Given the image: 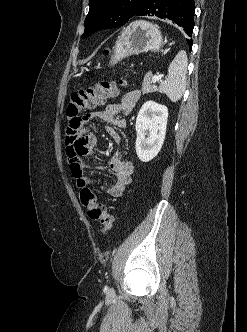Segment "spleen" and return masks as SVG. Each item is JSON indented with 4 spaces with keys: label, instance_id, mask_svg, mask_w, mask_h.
I'll use <instances>...</instances> for the list:
<instances>
[{
    "label": "spleen",
    "instance_id": "3e777b00",
    "mask_svg": "<svg viewBox=\"0 0 247 332\" xmlns=\"http://www.w3.org/2000/svg\"><path fill=\"white\" fill-rule=\"evenodd\" d=\"M187 65V54L181 50L168 67V78L159 85L158 91L165 93L172 102L180 100L186 89Z\"/></svg>",
    "mask_w": 247,
    "mask_h": 332
}]
</instances>
